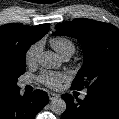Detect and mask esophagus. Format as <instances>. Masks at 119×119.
<instances>
[{"label": "esophagus", "instance_id": "1", "mask_svg": "<svg viewBox=\"0 0 119 119\" xmlns=\"http://www.w3.org/2000/svg\"><path fill=\"white\" fill-rule=\"evenodd\" d=\"M48 96H49V99H50V100H53V99L59 97V95H58V94H55V93H49Z\"/></svg>", "mask_w": 119, "mask_h": 119}]
</instances>
